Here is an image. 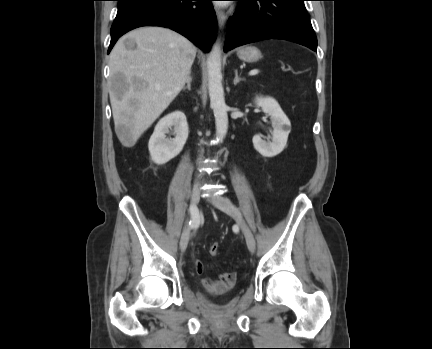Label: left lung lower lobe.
I'll return each instance as SVG.
<instances>
[{"label":"left lung lower lobe","mask_w":432,"mask_h":349,"mask_svg":"<svg viewBox=\"0 0 432 349\" xmlns=\"http://www.w3.org/2000/svg\"><path fill=\"white\" fill-rule=\"evenodd\" d=\"M236 13L227 24L224 51L265 39H283L317 49L305 0H234Z\"/></svg>","instance_id":"0a47b994"}]
</instances>
